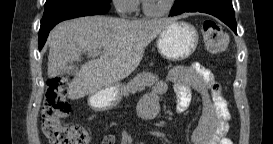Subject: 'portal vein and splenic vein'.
<instances>
[{
  "instance_id": "portal-vein-and-splenic-vein-1",
  "label": "portal vein and splenic vein",
  "mask_w": 273,
  "mask_h": 144,
  "mask_svg": "<svg viewBox=\"0 0 273 144\" xmlns=\"http://www.w3.org/2000/svg\"><path fill=\"white\" fill-rule=\"evenodd\" d=\"M99 54H100V51H97V52H95V53L89 54V57L95 59Z\"/></svg>"
}]
</instances>
